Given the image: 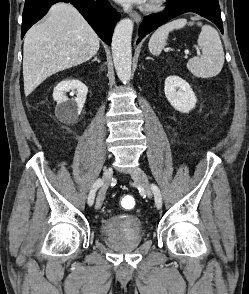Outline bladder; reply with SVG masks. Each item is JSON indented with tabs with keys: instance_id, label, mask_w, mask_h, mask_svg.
Returning a JSON list of instances; mask_svg holds the SVG:
<instances>
[{
	"instance_id": "bladder-1",
	"label": "bladder",
	"mask_w": 249,
	"mask_h": 294,
	"mask_svg": "<svg viewBox=\"0 0 249 294\" xmlns=\"http://www.w3.org/2000/svg\"><path fill=\"white\" fill-rule=\"evenodd\" d=\"M105 239L116 238L127 234L136 235L142 239L144 236V225L141 218L134 215H115L109 218L102 228Z\"/></svg>"
}]
</instances>
